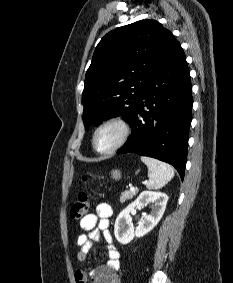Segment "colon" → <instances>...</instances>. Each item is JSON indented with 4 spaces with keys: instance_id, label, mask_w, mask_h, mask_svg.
I'll use <instances>...</instances> for the list:
<instances>
[{
    "instance_id": "5ec220e1",
    "label": "colon",
    "mask_w": 233,
    "mask_h": 283,
    "mask_svg": "<svg viewBox=\"0 0 233 283\" xmlns=\"http://www.w3.org/2000/svg\"><path fill=\"white\" fill-rule=\"evenodd\" d=\"M90 182V178L85 176L80 184L81 190L78 193L77 201L70 209V216L73 220L81 221L89 211L90 200L87 192L83 189Z\"/></svg>"
}]
</instances>
